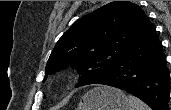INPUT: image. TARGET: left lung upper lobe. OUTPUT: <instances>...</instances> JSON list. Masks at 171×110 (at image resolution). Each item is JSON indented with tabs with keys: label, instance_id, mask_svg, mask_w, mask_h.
<instances>
[{
	"label": "left lung upper lobe",
	"instance_id": "obj_1",
	"mask_svg": "<svg viewBox=\"0 0 171 110\" xmlns=\"http://www.w3.org/2000/svg\"><path fill=\"white\" fill-rule=\"evenodd\" d=\"M149 19L140 6L114 1L78 19L58 40L45 68V78L71 66L78 86L95 84L121 60L146 31Z\"/></svg>",
	"mask_w": 171,
	"mask_h": 110
}]
</instances>
